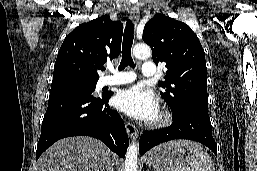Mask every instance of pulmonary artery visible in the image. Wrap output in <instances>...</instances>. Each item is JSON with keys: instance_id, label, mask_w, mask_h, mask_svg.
<instances>
[{"instance_id": "pulmonary-artery-1", "label": "pulmonary artery", "mask_w": 257, "mask_h": 171, "mask_svg": "<svg viewBox=\"0 0 257 171\" xmlns=\"http://www.w3.org/2000/svg\"><path fill=\"white\" fill-rule=\"evenodd\" d=\"M142 75L152 77L156 74V65L153 62H144L142 65ZM136 75L132 71H114L112 76H105L102 81V86L123 85L135 81Z\"/></svg>"}]
</instances>
